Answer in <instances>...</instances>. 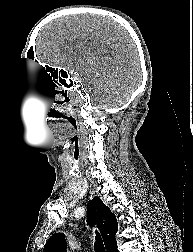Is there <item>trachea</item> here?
I'll return each instance as SVG.
<instances>
[{"label":"trachea","instance_id":"trachea-1","mask_svg":"<svg viewBox=\"0 0 193 252\" xmlns=\"http://www.w3.org/2000/svg\"><path fill=\"white\" fill-rule=\"evenodd\" d=\"M94 248H95L96 252H106L103 241H102V238H101L100 234L97 231H96Z\"/></svg>","mask_w":193,"mask_h":252}]
</instances>
